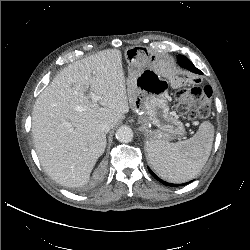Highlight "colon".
Returning <instances> with one entry per match:
<instances>
[{
  "label": "colon",
  "instance_id": "obj_1",
  "mask_svg": "<svg viewBox=\"0 0 250 250\" xmlns=\"http://www.w3.org/2000/svg\"><path fill=\"white\" fill-rule=\"evenodd\" d=\"M212 90L210 87H192L176 95V104L183 114L191 119L205 118L211 111Z\"/></svg>",
  "mask_w": 250,
  "mask_h": 250
}]
</instances>
